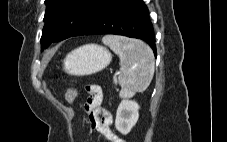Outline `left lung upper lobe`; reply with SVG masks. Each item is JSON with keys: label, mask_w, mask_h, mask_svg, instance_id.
<instances>
[{"label": "left lung upper lobe", "mask_w": 227, "mask_h": 142, "mask_svg": "<svg viewBox=\"0 0 227 142\" xmlns=\"http://www.w3.org/2000/svg\"><path fill=\"white\" fill-rule=\"evenodd\" d=\"M109 0H45V25L41 48H47L53 40L71 37L84 26Z\"/></svg>", "instance_id": "5c2ea615"}]
</instances>
